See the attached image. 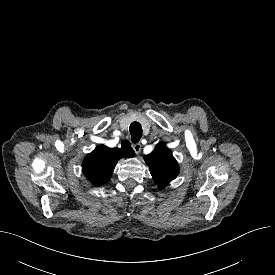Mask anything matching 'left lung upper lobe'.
I'll return each mask as SVG.
<instances>
[{
  "label": "left lung upper lobe",
  "instance_id": "5c2ea615",
  "mask_svg": "<svg viewBox=\"0 0 275 275\" xmlns=\"http://www.w3.org/2000/svg\"><path fill=\"white\" fill-rule=\"evenodd\" d=\"M145 162L150 168L155 184L161 189L179 174L178 163L164 143H159L150 154L146 155Z\"/></svg>",
  "mask_w": 275,
  "mask_h": 275
}]
</instances>
